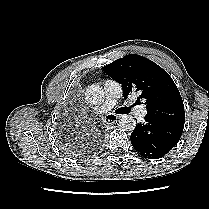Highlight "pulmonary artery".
Instances as JSON below:
<instances>
[{"label": "pulmonary artery", "mask_w": 209, "mask_h": 209, "mask_svg": "<svg viewBox=\"0 0 209 209\" xmlns=\"http://www.w3.org/2000/svg\"><path fill=\"white\" fill-rule=\"evenodd\" d=\"M104 90H105V101L99 108V112L105 113L111 110L116 102L120 99L122 96V89L121 86L113 81V80H106L103 84ZM135 113L140 118L144 117L146 115V108L145 106H138L135 108Z\"/></svg>", "instance_id": "pulmonary-artery-1"}]
</instances>
